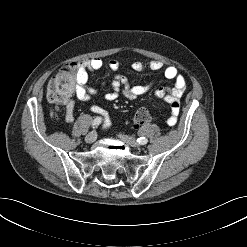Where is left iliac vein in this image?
<instances>
[{
	"label": "left iliac vein",
	"mask_w": 247,
	"mask_h": 247,
	"mask_svg": "<svg viewBox=\"0 0 247 247\" xmlns=\"http://www.w3.org/2000/svg\"><path fill=\"white\" fill-rule=\"evenodd\" d=\"M119 138L122 141L126 142L127 144L131 145L132 147H139V143L135 139H133L127 135L120 134Z\"/></svg>",
	"instance_id": "left-iliac-vein-1"
}]
</instances>
